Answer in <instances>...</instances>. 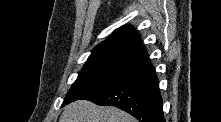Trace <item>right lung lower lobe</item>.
Segmentation results:
<instances>
[{
    "label": "right lung lower lobe",
    "mask_w": 221,
    "mask_h": 122,
    "mask_svg": "<svg viewBox=\"0 0 221 122\" xmlns=\"http://www.w3.org/2000/svg\"><path fill=\"white\" fill-rule=\"evenodd\" d=\"M158 85L154 67L145 57L120 81L84 99L118 107L140 122H165Z\"/></svg>",
    "instance_id": "98d812e1"
}]
</instances>
